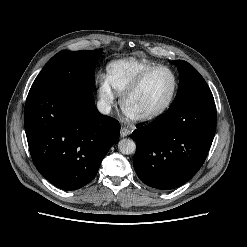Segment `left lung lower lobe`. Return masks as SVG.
<instances>
[{
	"label": "left lung lower lobe",
	"mask_w": 247,
	"mask_h": 247,
	"mask_svg": "<svg viewBox=\"0 0 247 247\" xmlns=\"http://www.w3.org/2000/svg\"><path fill=\"white\" fill-rule=\"evenodd\" d=\"M215 130L213 96H193L172 104L159 119L133 132L138 177L157 189L180 187L203 165Z\"/></svg>",
	"instance_id": "obj_1"
}]
</instances>
